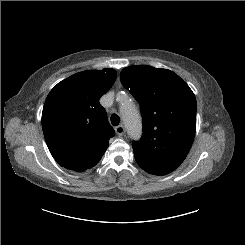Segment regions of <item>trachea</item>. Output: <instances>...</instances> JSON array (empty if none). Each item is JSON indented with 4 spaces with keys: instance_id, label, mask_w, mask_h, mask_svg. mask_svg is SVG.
<instances>
[{
    "instance_id": "3493384b",
    "label": "trachea",
    "mask_w": 245,
    "mask_h": 245,
    "mask_svg": "<svg viewBox=\"0 0 245 245\" xmlns=\"http://www.w3.org/2000/svg\"><path fill=\"white\" fill-rule=\"evenodd\" d=\"M120 122V118L117 114H112L111 115V123L113 126H117Z\"/></svg>"
}]
</instances>
